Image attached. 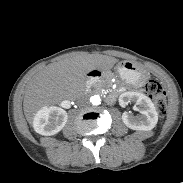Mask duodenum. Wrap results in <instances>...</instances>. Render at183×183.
Instances as JSON below:
<instances>
[{"instance_id":"410a0bca","label":"duodenum","mask_w":183,"mask_h":183,"mask_svg":"<svg viewBox=\"0 0 183 183\" xmlns=\"http://www.w3.org/2000/svg\"><path fill=\"white\" fill-rule=\"evenodd\" d=\"M103 75V72L100 69H92L88 72V80L91 83L98 81ZM109 101H112V96L108 98Z\"/></svg>"}]
</instances>
